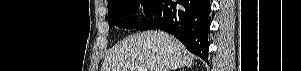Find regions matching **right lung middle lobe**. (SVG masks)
<instances>
[{
  "label": "right lung middle lobe",
  "instance_id": "1",
  "mask_svg": "<svg viewBox=\"0 0 301 71\" xmlns=\"http://www.w3.org/2000/svg\"><path fill=\"white\" fill-rule=\"evenodd\" d=\"M157 0H110L108 2L109 26L142 30L147 19L136 21L133 16L139 3L144 7L145 14L150 16Z\"/></svg>",
  "mask_w": 301,
  "mask_h": 71
}]
</instances>
